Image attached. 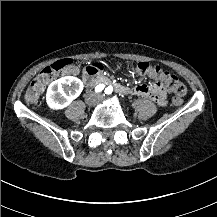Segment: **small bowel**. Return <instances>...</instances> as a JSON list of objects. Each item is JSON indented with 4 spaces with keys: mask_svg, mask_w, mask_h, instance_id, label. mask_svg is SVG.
I'll list each match as a JSON object with an SVG mask.
<instances>
[{
    "mask_svg": "<svg viewBox=\"0 0 217 217\" xmlns=\"http://www.w3.org/2000/svg\"><path fill=\"white\" fill-rule=\"evenodd\" d=\"M157 85L158 84H152L147 86L141 84L133 87L132 89L135 95L147 97L160 105H165L166 99L164 93L160 87H157Z\"/></svg>",
    "mask_w": 217,
    "mask_h": 217,
    "instance_id": "c3829d8e",
    "label": "small bowel"
}]
</instances>
